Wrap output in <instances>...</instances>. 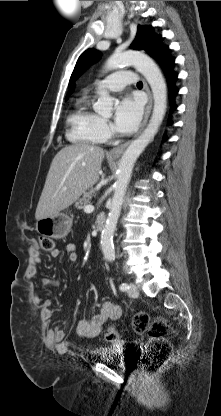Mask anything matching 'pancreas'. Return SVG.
<instances>
[{
	"label": "pancreas",
	"mask_w": 221,
	"mask_h": 416,
	"mask_svg": "<svg viewBox=\"0 0 221 416\" xmlns=\"http://www.w3.org/2000/svg\"><path fill=\"white\" fill-rule=\"evenodd\" d=\"M96 196L95 189L91 188L88 192H85L83 194V197L78 200L76 203V208L78 209H84L86 205L91 203L92 197Z\"/></svg>",
	"instance_id": "pancreas-1"
}]
</instances>
